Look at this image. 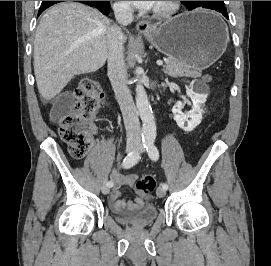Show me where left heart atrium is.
I'll list each match as a JSON object with an SVG mask.
<instances>
[{
  "label": "left heart atrium",
  "instance_id": "obj_1",
  "mask_svg": "<svg viewBox=\"0 0 271 266\" xmlns=\"http://www.w3.org/2000/svg\"><path fill=\"white\" fill-rule=\"evenodd\" d=\"M134 7L141 10H151L156 8L161 1H128Z\"/></svg>",
  "mask_w": 271,
  "mask_h": 266
}]
</instances>
